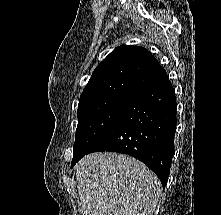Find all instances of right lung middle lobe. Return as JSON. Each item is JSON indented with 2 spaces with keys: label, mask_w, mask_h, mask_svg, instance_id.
I'll return each instance as SVG.
<instances>
[{
  "label": "right lung middle lobe",
  "mask_w": 221,
  "mask_h": 215,
  "mask_svg": "<svg viewBox=\"0 0 221 215\" xmlns=\"http://www.w3.org/2000/svg\"><path fill=\"white\" fill-rule=\"evenodd\" d=\"M131 100L127 97H107L78 105L73 159L84 156L91 149Z\"/></svg>",
  "instance_id": "1"
}]
</instances>
